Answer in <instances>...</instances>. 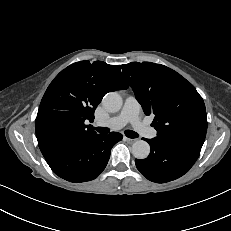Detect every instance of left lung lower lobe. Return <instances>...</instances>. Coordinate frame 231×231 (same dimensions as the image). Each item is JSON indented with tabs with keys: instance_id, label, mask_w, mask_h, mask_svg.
<instances>
[{
	"instance_id": "0a47b994",
	"label": "left lung lower lobe",
	"mask_w": 231,
	"mask_h": 231,
	"mask_svg": "<svg viewBox=\"0 0 231 231\" xmlns=\"http://www.w3.org/2000/svg\"><path fill=\"white\" fill-rule=\"evenodd\" d=\"M146 140L150 155L135 160L137 169L150 181L165 183L175 180L194 165L204 141L189 137H155Z\"/></svg>"
}]
</instances>
